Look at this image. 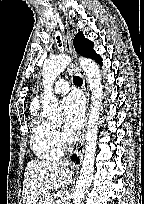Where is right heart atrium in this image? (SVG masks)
<instances>
[{"instance_id":"obj_1","label":"right heart atrium","mask_w":144,"mask_h":204,"mask_svg":"<svg viewBox=\"0 0 144 204\" xmlns=\"http://www.w3.org/2000/svg\"><path fill=\"white\" fill-rule=\"evenodd\" d=\"M54 136L61 146H64L66 144V137L59 129L54 128Z\"/></svg>"}]
</instances>
